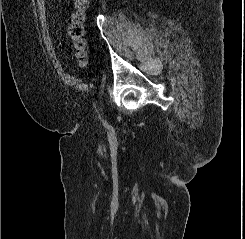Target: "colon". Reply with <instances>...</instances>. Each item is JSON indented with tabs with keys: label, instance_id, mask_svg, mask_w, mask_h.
<instances>
[{
	"label": "colon",
	"instance_id": "1",
	"mask_svg": "<svg viewBox=\"0 0 245 239\" xmlns=\"http://www.w3.org/2000/svg\"><path fill=\"white\" fill-rule=\"evenodd\" d=\"M89 5L90 0H74L75 10L71 15V21L67 28V35L72 42L74 57L81 67L87 66L89 59L84 28Z\"/></svg>",
	"mask_w": 245,
	"mask_h": 239
}]
</instances>
